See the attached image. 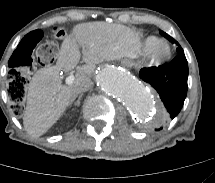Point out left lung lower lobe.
I'll use <instances>...</instances> for the list:
<instances>
[{"label": "left lung lower lobe", "mask_w": 215, "mask_h": 183, "mask_svg": "<svg viewBox=\"0 0 215 183\" xmlns=\"http://www.w3.org/2000/svg\"><path fill=\"white\" fill-rule=\"evenodd\" d=\"M139 76L158 92L167 117H176L183 107L188 89V63L185 55L176 56L166 65L143 68Z\"/></svg>", "instance_id": "1"}]
</instances>
